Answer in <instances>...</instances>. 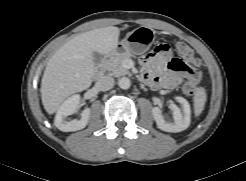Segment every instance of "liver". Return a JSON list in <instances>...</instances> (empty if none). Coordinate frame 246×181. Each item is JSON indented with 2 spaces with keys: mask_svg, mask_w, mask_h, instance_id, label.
<instances>
[{
  "mask_svg": "<svg viewBox=\"0 0 246 181\" xmlns=\"http://www.w3.org/2000/svg\"><path fill=\"white\" fill-rule=\"evenodd\" d=\"M119 34V28L114 26L90 30L75 36L54 53L41 81L42 104L48 114L55 113L68 96L90 87L95 72L93 52L111 53Z\"/></svg>",
  "mask_w": 246,
  "mask_h": 181,
  "instance_id": "6515ba94",
  "label": "liver"
}]
</instances>
